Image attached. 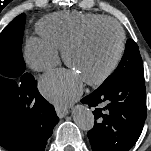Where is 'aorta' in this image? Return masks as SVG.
Here are the masks:
<instances>
[{
	"label": "aorta",
	"instance_id": "762f6f07",
	"mask_svg": "<svg viewBox=\"0 0 151 151\" xmlns=\"http://www.w3.org/2000/svg\"><path fill=\"white\" fill-rule=\"evenodd\" d=\"M72 117L76 125L84 131H89L94 126V115L92 111L84 105H76L73 107Z\"/></svg>",
	"mask_w": 151,
	"mask_h": 151
}]
</instances>
